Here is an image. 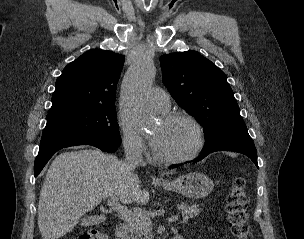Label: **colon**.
<instances>
[{
  "instance_id": "colon-1",
  "label": "colon",
  "mask_w": 304,
  "mask_h": 239,
  "mask_svg": "<svg viewBox=\"0 0 304 239\" xmlns=\"http://www.w3.org/2000/svg\"><path fill=\"white\" fill-rule=\"evenodd\" d=\"M247 207L248 196L245 179L236 177L231 183L226 198L229 226L235 239H252ZM78 239H109V237L105 233L94 230L80 235Z\"/></svg>"
}]
</instances>
